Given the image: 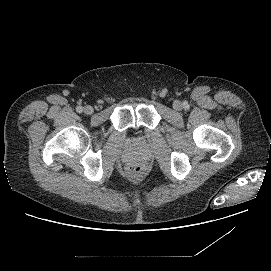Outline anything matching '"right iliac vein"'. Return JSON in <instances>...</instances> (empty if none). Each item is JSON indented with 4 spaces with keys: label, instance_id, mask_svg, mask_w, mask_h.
<instances>
[{
    "label": "right iliac vein",
    "instance_id": "right-iliac-vein-1",
    "mask_svg": "<svg viewBox=\"0 0 271 271\" xmlns=\"http://www.w3.org/2000/svg\"><path fill=\"white\" fill-rule=\"evenodd\" d=\"M94 112V109L92 106L88 105L84 107V113L87 115H90Z\"/></svg>",
    "mask_w": 271,
    "mask_h": 271
}]
</instances>
